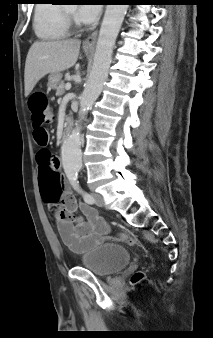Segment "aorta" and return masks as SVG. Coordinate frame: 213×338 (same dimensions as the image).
<instances>
[{"instance_id": "obj_1", "label": "aorta", "mask_w": 213, "mask_h": 338, "mask_svg": "<svg viewBox=\"0 0 213 338\" xmlns=\"http://www.w3.org/2000/svg\"><path fill=\"white\" fill-rule=\"evenodd\" d=\"M127 5H107L96 44L93 66L80 97L79 120L62 148V166L69 179H74L82 166L81 126L88 111L99 97L108 77L116 38L122 26Z\"/></svg>"}]
</instances>
